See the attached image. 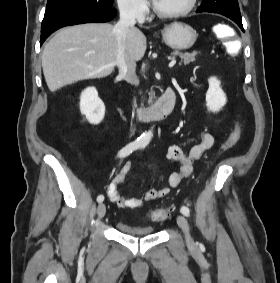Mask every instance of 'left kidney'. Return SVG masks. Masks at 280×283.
Listing matches in <instances>:
<instances>
[{
	"instance_id": "1",
	"label": "left kidney",
	"mask_w": 280,
	"mask_h": 283,
	"mask_svg": "<svg viewBox=\"0 0 280 283\" xmlns=\"http://www.w3.org/2000/svg\"><path fill=\"white\" fill-rule=\"evenodd\" d=\"M209 89L206 93V106L211 112H218L226 104L227 98L221 88V82L216 77L208 79Z\"/></svg>"
}]
</instances>
